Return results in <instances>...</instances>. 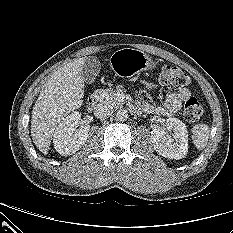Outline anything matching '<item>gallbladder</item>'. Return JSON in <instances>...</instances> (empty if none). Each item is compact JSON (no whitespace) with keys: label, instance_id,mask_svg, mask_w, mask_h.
Returning <instances> with one entry per match:
<instances>
[{"label":"gallbladder","instance_id":"1","mask_svg":"<svg viewBox=\"0 0 233 233\" xmlns=\"http://www.w3.org/2000/svg\"><path fill=\"white\" fill-rule=\"evenodd\" d=\"M101 69L100 61L95 56H88L82 69V78L85 83L92 84Z\"/></svg>","mask_w":233,"mask_h":233}]
</instances>
